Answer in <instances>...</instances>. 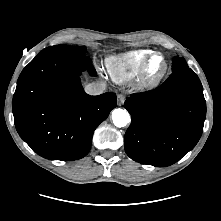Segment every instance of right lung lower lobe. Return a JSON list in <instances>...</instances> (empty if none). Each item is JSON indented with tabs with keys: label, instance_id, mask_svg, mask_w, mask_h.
<instances>
[{
	"label": "right lung lower lobe",
	"instance_id": "1",
	"mask_svg": "<svg viewBox=\"0 0 221 221\" xmlns=\"http://www.w3.org/2000/svg\"><path fill=\"white\" fill-rule=\"evenodd\" d=\"M96 75L85 55L44 53L21 72L13 96V115L20 137L40 156L77 160L90 151L97 126L116 107V95L86 94L79 75Z\"/></svg>",
	"mask_w": 221,
	"mask_h": 221
}]
</instances>
